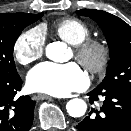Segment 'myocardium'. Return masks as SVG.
<instances>
[{"label": "myocardium", "instance_id": "f54148a6", "mask_svg": "<svg viewBox=\"0 0 131 131\" xmlns=\"http://www.w3.org/2000/svg\"><path fill=\"white\" fill-rule=\"evenodd\" d=\"M75 58L92 74H101L109 66L111 50L100 39L87 38L74 46Z\"/></svg>", "mask_w": 131, "mask_h": 131}]
</instances>
